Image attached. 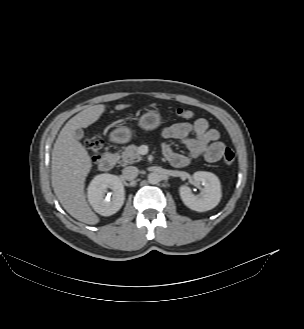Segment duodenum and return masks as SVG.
<instances>
[{"mask_svg": "<svg viewBox=\"0 0 304 329\" xmlns=\"http://www.w3.org/2000/svg\"><path fill=\"white\" fill-rule=\"evenodd\" d=\"M116 161H117L116 155L111 153H105L100 158L98 166L100 170L108 171L115 165Z\"/></svg>", "mask_w": 304, "mask_h": 329, "instance_id": "duodenum-1", "label": "duodenum"}]
</instances>
